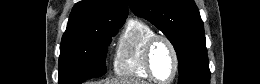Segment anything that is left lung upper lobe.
<instances>
[{
	"instance_id": "5c2ea615",
	"label": "left lung upper lobe",
	"mask_w": 260,
	"mask_h": 84,
	"mask_svg": "<svg viewBox=\"0 0 260 84\" xmlns=\"http://www.w3.org/2000/svg\"><path fill=\"white\" fill-rule=\"evenodd\" d=\"M170 40L179 60L178 84H210L204 25L193 0H128Z\"/></svg>"
}]
</instances>
